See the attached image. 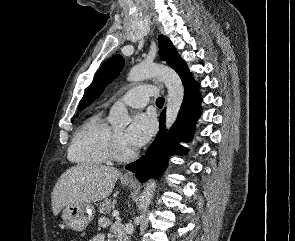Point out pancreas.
Returning <instances> with one entry per match:
<instances>
[{
	"label": "pancreas",
	"instance_id": "1",
	"mask_svg": "<svg viewBox=\"0 0 295 241\" xmlns=\"http://www.w3.org/2000/svg\"><path fill=\"white\" fill-rule=\"evenodd\" d=\"M115 203L112 202L111 200H104V202H102L99 206V212L101 214H106V213H110V211L112 209H114Z\"/></svg>",
	"mask_w": 295,
	"mask_h": 241
}]
</instances>
